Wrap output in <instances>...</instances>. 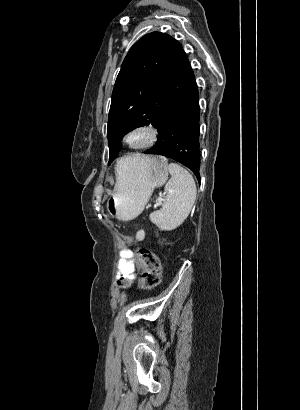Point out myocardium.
<instances>
[{"instance_id":"f54148a6","label":"myocardium","mask_w":300,"mask_h":410,"mask_svg":"<svg viewBox=\"0 0 300 410\" xmlns=\"http://www.w3.org/2000/svg\"><path fill=\"white\" fill-rule=\"evenodd\" d=\"M143 135L144 140L137 144H132L129 139L134 135ZM160 139L159 129L151 123H142L130 128L122 137L123 144L131 150L149 149L157 144Z\"/></svg>"}]
</instances>
